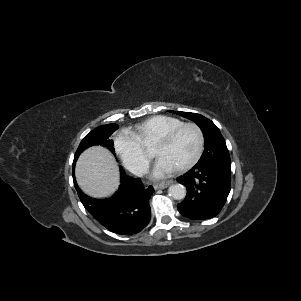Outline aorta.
Listing matches in <instances>:
<instances>
[{"label":"aorta","instance_id":"aorta-1","mask_svg":"<svg viewBox=\"0 0 301 301\" xmlns=\"http://www.w3.org/2000/svg\"><path fill=\"white\" fill-rule=\"evenodd\" d=\"M168 193L172 198L181 200L186 196V188L181 184H174L169 187Z\"/></svg>","mask_w":301,"mask_h":301}]
</instances>
